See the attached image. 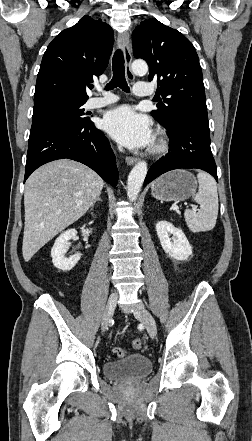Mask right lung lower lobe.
Wrapping results in <instances>:
<instances>
[{"label":"right lung lower lobe","instance_id":"1","mask_svg":"<svg viewBox=\"0 0 252 441\" xmlns=\"http://www.w3.org/2000/svg\"><path fill=\"white\" fill-rule=\"evenodd\" d=\"M68 158L81 162L112 186L117 185L118 170L108 139L89 119L80 124L40 121L32 124L24 182L41 165Z\"/></svg>","mask_w":252,"mask_h":441}]
</instances>
